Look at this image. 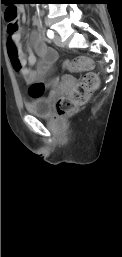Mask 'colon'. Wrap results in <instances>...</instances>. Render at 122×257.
<instances>
[{
    "instance_id": "obj_1",
    "label": "colon",
    "mask_w": 122,
    "mask_h": 257,
    "mask_svg": "<svg viewBox=\"0 0 122 257\" xmlns=\"http://www.w3.org/2000/svg\"><path fill=\"white\" fill-rule=\"evenodd\" d=\"M5 19L10 33H14L18 28V5H4ZM10 52V48H9ZM94 67L93 61L84 56L76 57L72 60H66L63 67L60 68L61 74H55V79H40L39 82L28 83V98H49L52 90H55L57 84H62V75H70V72L80 73L90 71ZM99 85L98 76L94 73H88L78 83L68 95L58 99L56 110L59 116L65 117L72 114L79 106L85 104L91 94Z\"/></svg>"
}]
</instances>
